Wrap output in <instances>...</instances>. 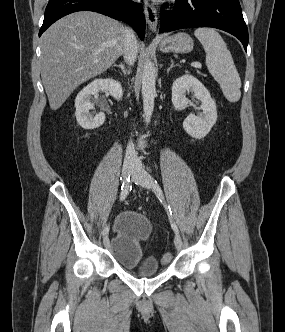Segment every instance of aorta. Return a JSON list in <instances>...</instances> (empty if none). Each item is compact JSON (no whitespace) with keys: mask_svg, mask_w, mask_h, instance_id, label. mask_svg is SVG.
<instances>
[{"mask_svg":"<svg viewBox=\"0 0 285 332\" xmlns=\"http://www.w3.org/2000/svg\"><path fill=\"white\" fill-rule=\"evenodd\" d=\"M155 82L154 64L151 60L146 59L142 73L143 110L146 123L150 122L154 109V99L156 95Z\"/></svg>","mask_w":285,"mask_h":332,"instance_id":"762f6f07","label":"aorta"}]
</instances>
